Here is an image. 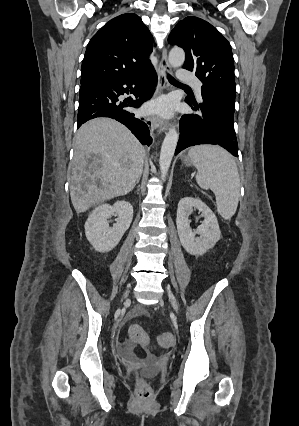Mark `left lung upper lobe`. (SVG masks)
<instances>
[{
	"mask_svg": "<svg viewBox=\"0 0 299 426\" xmlns=\"http://www.w3.org/2000/svg\"><path fill=\"white\" fill-rule=\"evenodd\" d=\"M168 42L185 50L183 68L202 81L201 93L235 106L233 54L229 42L210 23L186 17L171 31Z\"/></svg>",
	"mask_w": 299,
	"mask_h": 426,
	"instance_id": "obj_1",
	"label": "left lung upper lobe"
}]
</instances>
